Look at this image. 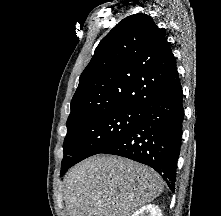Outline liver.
I'll use <instances>...</instances> for the list:
<instances>
[{"label": "liver", "instance_id": "liver-1", "mask_svg": "<svg viewBox=\"0 0 221 216\" xmlns=\"http://www.w3.org/2000/svg\"><path fill=\"white\" fill-rule=\"evenodd\" d=\"M163 189V179L150 167L98 155L66 173L63 192L68 216H131Z\"/></svg>", "mask_w": 221, "mask_h": 216}]
</instances>
